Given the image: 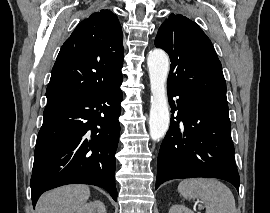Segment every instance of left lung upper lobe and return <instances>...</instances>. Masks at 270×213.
I'll return each mask as SVG.
<instances>
[{"mask_svg": "<svg viewBox=\"0 0 270 213\" xmlns=\"http://www.w3.org/2000/svg\"><path fill=\"white\" fill-rule=\"evenodd\" d=\"M155 46L165 50L171 60L168 88L227 104L221 63L210 39L195 22L169 15L158 30Z\"/></svg>", "mask_w": 270, "mask_h": 213, "instance_id": "1", "label": "left lung upper lobe"}]
</instances>
